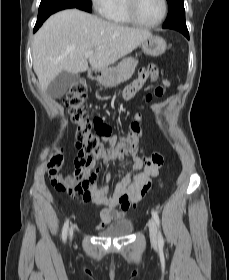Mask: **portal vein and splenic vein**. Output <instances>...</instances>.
<instances>
[{
  "label": "portal vein and splenic vein",
  "instance_id": "portal-vein-and-splenic-vein-1",
  "mask_svg": "<svg viewBox=\"0 0 229 280\" xmlns=\"http://www.w3.org/2000/svg\"><path fill=\"white\" fill-rule=\"evenodd\" d=\"M93 53H94V50H90V51L86 52L85 53V58L90 57Z\"/></svg>",
  "mask_w": 229,
  "mask_h": 280
}]
</instances>
